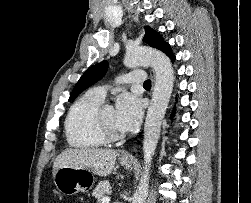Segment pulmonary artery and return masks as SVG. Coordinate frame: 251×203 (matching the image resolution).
I'll list each match as a JSON object with an SVG mask.
<instances>
[{
	"mask_svg": "<svg viewBox=\"0 0 251 203\" xmlns=\"http://www.w3.org/2000/svg\"><path fill=\"white\" fill-rule=\"evenodd\" d=\"M145 80H146V75L144 72L141 71L130 72L128 74L123 75L120 78V81L125 83H142ZM106 92H107L106 86L93 87L88 91L89 94L100 100H104Z\"/></svg>",
	"mask_w": 251,
	"mask_h": 203,
	"instance_id": "1",
	"label": "pulmonary artery"
}]
</instances>
